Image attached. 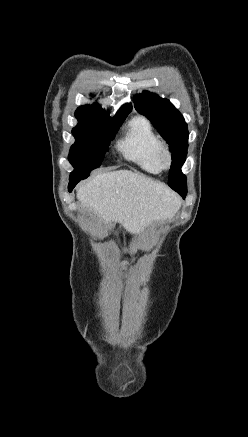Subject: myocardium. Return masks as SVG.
I'll use <instances>...</instances> for the list:
<instances>
[{
  "label": "myocardium",
  "instance_id": "f54148a6",
  "mask_svg": "<svg viewBox=\"0 0 248 437\" xmlns=\"http://www.w3.org/2000/svg\"><path fill=\"white\" fill-rule=\"evenodd\" d=\"M160 165L164 169H169L172 164V153L166 144H162L159 149Z\"/></svg>",
  "mask_w": 248,
  "mask_h": 437
}]
</instances>
